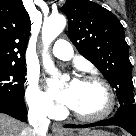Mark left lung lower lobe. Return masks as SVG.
<instances>
[{
  "label": "left lung lower lobe",
  "instance_id": "0a47b994",
  "mask_svg": "<svg viewBox=\"0 0 136 136\" xmlns=\"http://www.w3.org/2000/svg\"><path fill=\"white\" fill-rule=\"evenodd\" d=\"M102 125H116L136 136V104L120 106L114 117L87 125L68 124L66 128H87Z\"/></svg>",
  "mask_w": 136,
  "mask_h": 136
}]
</instances>
